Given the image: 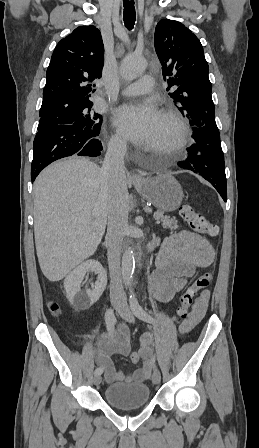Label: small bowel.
Here are the masks:
<instances>
[{"instance_id":"obj_1","label":"small bowel","mask_w":259,"mask_h":448,"mask_svg":"<svg viewBox=\"0 0 259 448\" xmlns=\"http://www.w3.org/2000/svg\"><path fill=\"white\" fill-rule=\"evenodd\" d=\"M156 244L159 245V252L156 258V269L150 277L149 288L154 298L160 302H168L183 291L187 285V279L194 275L196 268L207 267L215 259V250L211 243L206 238L189 231L174 233L163 240H157ZM209 298V291L204 290L200 293L189 318L179 326L180 333L190 332L203 319ZM149 343L150 337L145 335L139 350L143 365L133 373L125 375L121 369L114 367L112 356L130 354L127 325L121 323L115 333L104 334L95 353L97 364L105 370L106 382L139 383L149 379L154 367Z\"/></svg>"}]
</instances>
